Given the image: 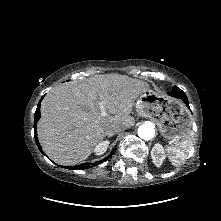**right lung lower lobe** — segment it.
Returning <instances> with one entry per match:
<instances>
[{
    "instance_id": "1",
    "label": "right lung lower lobe",
    "mask_w": 221,
    "mask_h": 221,
    "mask_svg": "<svg viewBox=\"0 0 221 221\" xmlns=\"http://www.w3.org/2000/svg\"><path fill=\"white\" fill-rule=\"evenodd\" d=\"M44 97V96H43ZM43 97L41 98V100L39 101L38 103V106H37V109H36V112H35V117H34V131H35V141H36V144L39 148V150L41 151V153L44 154V152L42 151V148H41V145L39 144L38 142V138H37V131H36V124L40 118V104H41V101L43 99ZM115 152V149H113V151L111 152V155ZM45 155V154H44ZM111 155H109L107 158L103 159V161H105L106 159H108ZM96 163H100V161L96 162ZM90 163L89 164H81V165H78V166H71V167H68L69 169H79V170H82V169H87V168H90ZM61 167H64V166H61Z\"/></svg>"
}]
</instances>
